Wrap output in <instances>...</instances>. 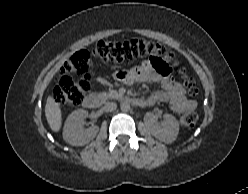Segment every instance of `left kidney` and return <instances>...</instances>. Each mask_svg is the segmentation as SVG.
I'll return each instance as SVG.
<instances>
[{"mask_svg":"<svg viewBox=\"0 0 248 194\" xmlns=\"http://www.w3.org/2000/svg\"><path fill=\"white\" fill-rule=\"evenodd\" d=\"M150 132L155 138L169 144L175 141L177 138L179 132V123L174 116L165 114L161 125L154 124Z\"/></svg>","mask_w":248,"mask_h":194,"instance_id":"5707ae66","label":"left kidney"}]
</instances>
